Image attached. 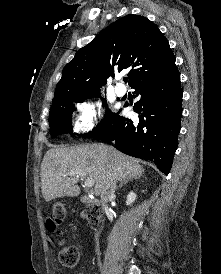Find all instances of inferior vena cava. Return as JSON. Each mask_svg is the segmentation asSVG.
Listing matches in <instances>:
<instances>
[{"label": "inferior vena cava", "instance_id": "602c4592", "mask_svg": "<svg viewBox=\"0 0 221 274\" xmlns=\"http://www.w3.org/2000/svg\"><path fill=\"white\" fill-rule=\"evenodd\" d=\"M116 189V181L113 177L109 179L107 186L101 192L102 205H106L108 199L114 195Z\"/></svg>", "mask_w": 221, "mask_h": 274}]
</instances>
